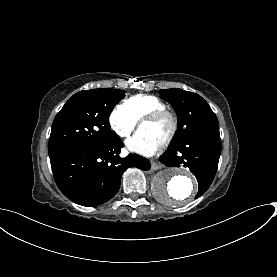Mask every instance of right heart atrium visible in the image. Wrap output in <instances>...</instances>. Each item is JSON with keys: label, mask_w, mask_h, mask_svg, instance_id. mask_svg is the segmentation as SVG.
<instances>
[{"label": "right heart atrium", "mask_w": 277, "mask_h": 277, "mask_svg": "<svg viewBox=\"0 0 277 277\" xmlns=\"http://www.w3.org/2000/svg\"><path fill=\"white\" fill-rule=\"evenodd\" d=\"M110 125L121 138L129 137L137 125V120L124 106H117L110 115Z\"/></svg>", "instance_id": "obj_1"}]
</instances>
